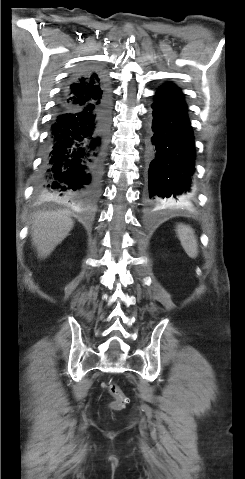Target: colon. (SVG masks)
I'll use <instances>...</instances> for the list:
<instances>
[{"label":"colon","instance_id":"colon-1","mask_svg":"<svg viewBox=\"0 0 245 479\" xmlns=\"http://www.w3.org/2000/svg\"><path fill=\"white\" fill-rule=\"evenodd\" d=\"M109 393L114 397V401L111 404V408L114 410L122 409L127 404V398L120 390V388L112 381H108L105 384Z\"/></svg>","mask_w":245,"mask_h":479}]
</instances>
